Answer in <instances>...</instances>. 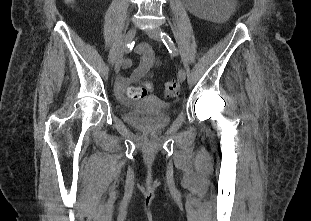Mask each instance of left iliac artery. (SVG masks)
I'll use <instances>...</instances> for the list:
<instances>
[{
  "label": "left iliac artery",
  "mask_w": 311,
  "mask_h": 221,
  "mask_svg": "<svg viewBox=\"0 0 311 221\" xmlns=\"http://www.w3.org/2000/svg\"><path fill=\"white\" fill-rule=\"evenodd\" d=\"M160 36H161L163 43L165 44V46L169 50L170 54L178 55V50H177L173 40L171 39V37L165 32H161Z\"/></svg>",
  "instance_id": "44dca946"
}]
</instances>
